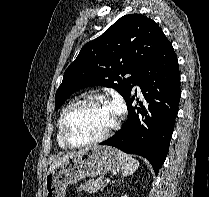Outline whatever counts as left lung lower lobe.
<instances>
[{
  "label": "left lung lower lobe",
  "instance_id": "left-lung-lower-lobe-1",
  "mask_svg": "<svg viewBox=\"0 0 209 197\" xmlns=\"http://www.w3.org/2000/svg\"><path fill=\"white\" fill-rule=\"evenodd\" d=\"M144 96L140 107L132 105L134 96L125 99L128 119L111 138L102 142L120 150L145 157L156 175L169 151L181 97L178 60L166 39L137 81Z\"/></svg>",
  "mask_w": 209,
  "mask_h": 197
}]
</instances>
